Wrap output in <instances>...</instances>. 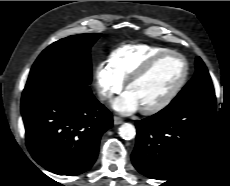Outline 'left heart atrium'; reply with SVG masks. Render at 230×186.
<instances>
[{"label":"left heart atrium","instance_id":"1","mask_svg":"<svg viewBox=\"0 0 230 186\" xmlns=\"http://www.w3.org/2000/svg\"><path fill=\"white\" fill-rule=\"evenodd\" d=\"M112 106L116 111L122 114L133 113L140 108L139 103L129 91H126L120 97L115 99Z\"/></svg>","mask_w":230,"mask_h":186}]
</instances>
